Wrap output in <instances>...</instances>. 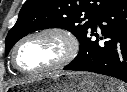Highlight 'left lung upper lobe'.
Listing matches in <instances>:
<instances>
[{
	"mask_svg": "<svg viewBox=\"0 0 127 92\" xmlns=\"http://www.w3.org/2000/svg\"><path fill=\"white\" fill-rule=\"evenodd\" d=\"M120 0H27L18 20L5 39V52L30 32L63 28L79 42L89 33L100 16Z\"/></svg>",
	"mask_w": 127,
	"mask_h": 92,
	"instance_id": "5c2ea615",
	"label": "left lung upper lobe"
}]
</instances>
